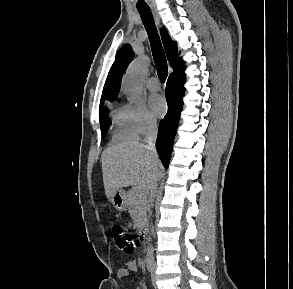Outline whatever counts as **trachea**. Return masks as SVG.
I'll list each match as a JSON object with an SVG mask.
<instances>
[{"label":"trachea","instance_id":"3493384b","mask_svg":"<svg viewBox=\"0 0 293 289\" xmlns=\"http://www.w3.org/2000/svg\"><path fill=\"white\" fill-rule=\"evenodd\" d=\"M138 11L148 33L158 76L162 82H165V79L168 75L167 61L151 10L150 8H144L138 9Z\"/></svg>","mask_w":293,"mask_h":289}]
</instances>
